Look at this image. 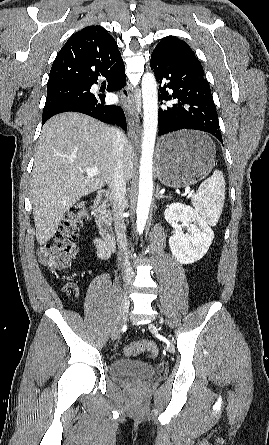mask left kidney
I'll list each match as a JSON object with an SVG mask.
<instances>
[{
    "label": "left kidney",
    "instance_id": "5707ae66",
    "mask_svg": "<svg viewBox=\"0 0 269 445\" xmlns=\"http://www.w3.org/2000/svg\"><path fill=\"white\" fill-rule=\"evenodd\" d=\"M164 216L174 229L169 246L175 258L182 264H192L200 260L207 253L214 238L210 226L192 207L182 203L168 206ZM183 226L189 228V234H184Z\"/></svg>",
    "mask_w": 269,
    "mask_h": 445
}]
</instances>
